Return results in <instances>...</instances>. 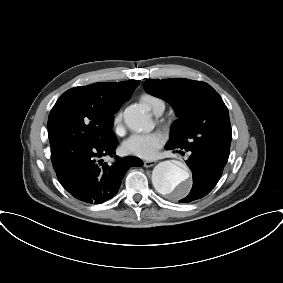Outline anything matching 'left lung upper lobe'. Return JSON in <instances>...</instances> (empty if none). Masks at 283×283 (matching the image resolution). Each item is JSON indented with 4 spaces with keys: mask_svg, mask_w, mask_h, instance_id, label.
Masks as SVG:
<instances>
[{
    "mask_svg": "<svg viewBox=\"0 0 283 283\" xmlns=\"http://www.w3.org/2000/svg\"><path fill=\"white\" fill-rule=\"evenodd\" d=\"M144 88L175 109L178 119L171 126L169 145L229 156L232 134L228 109L210 85L182 78L148 79Z\"/></svg>",
    "mask_w": 283,
    "mask_h": 283,
    "instance_id": "obj_1",
    "label": "left lung upper lobe"
}]
</instances>
